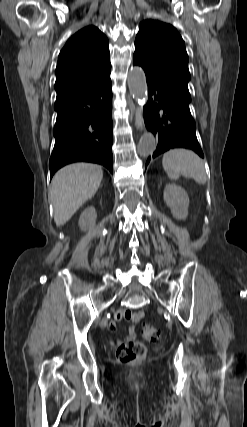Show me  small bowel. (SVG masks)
Segmentation results:
<instances>
[{
  "instance_id": "small-bowel-1",
  "label": "small bowel",
  "mask_w": 247,
  "mask_h": 427,
  "mask_svg": "<svg viewBox=\"0 0 247 427\" xmlns=\"http://www.w3.org/2000/svg\"><path fill=\"white\" fill-rule=\"evenodd\" d=\"M143 316V311L132 312L128 309H120L115 313L114 319L109 323L108 329L111 332H115L117 330V324L122 320H127L132 324L129 329L128 339L133 340L136 336L134 325L138 323L143 318Z\"/></svg>"
}]
</instances>
